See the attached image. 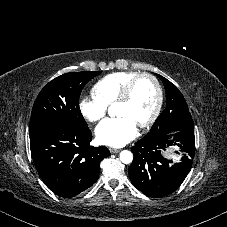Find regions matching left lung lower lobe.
<instances>
[{"label":"left lung lower lobe","instance_id":"obj_1","mask_svg":"<svg viewBox=\"0 0 227 227\" xmlns=\"http://www.w3.org/2000/svg\"><path fill=\"white\" fill-rule=\"evenodd\" d=\"M177 145L183 153L180 163L162 155L167 147ZM133 162L129 166L132 184L151 197H164L182 184L195 155L194 128L176 130L149 139L142 138L132 147Z\"/></svg>","mask_w":227,"mask_h":227}]
</instances>
